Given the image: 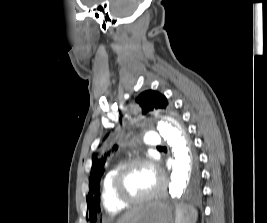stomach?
Returning <instances> with one entry per match:
<instances>
[{"label": "stomach", "mask_w": 267, "mask_h": 223, "mask_svg": "<svg viewBox=\"0 0 267 223\" xmlns=\"http://www.w3.org/2000/svg\"><path fill=\"white\" fill-rule=\"evenodd\" d=\"M173 206L164 198H157L139 206V211L125 223H172Z\"/></svg>", "instance_id": "1"}]
</instances>
